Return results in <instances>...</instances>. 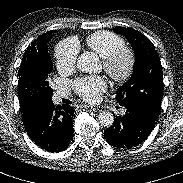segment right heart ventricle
Returning <instances> with one entry per match:
<instances>
[{
  "instance_id": "1",
  "label": "right heart ventricle",
  "mask_w": 183,
  "mask_h": 183,
  "mask_svg": "<svg viewBox=\"0 0 183 183\" xmlns=\"http://www.w3.org/2000/svg\"><path fill=\"white\" fill-rule=\"evenodd\" d=\"M86 45L101 58L125 46L124 39L110 31H97L86 37Z\"/></svg>"
}]
</instances>
